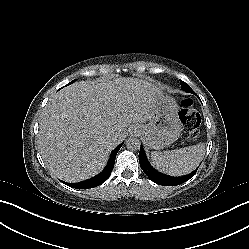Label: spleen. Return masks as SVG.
<instances>
[{
  "instance_id": "spleen-1",
  "label": "spleen",
  "mask_w": 249,
  "mask_h": 249,
  "mask_svg": "<svg viewBox=\"0 0 249 249\" xmlns=\"http://www.w3.org/2000/svg\"><path fill=\"white\" fill-rule=\"evenodd\" d=\"M205 143L165 152H151L153 166L162 173L174 176L178 170H194L205 155Z\"/></svg>"
}]
</instances>
